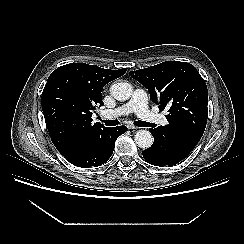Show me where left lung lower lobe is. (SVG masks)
<instances>
[{
    "label": "left lung lower lobe",
    "mask_w": 244,
    "mask_h": 244,
    "mask_svg": "<svg viewBox=\"0 0 244 244\" xmlns=\"http://www.w3.org/2000/svg\"><path fill=\"white\" fill-rule=\"evenodd\" d=\"M153 136L156 129H151ZM144 159L155 166H173L188 157L189 153H181L170 145L155 141L151 147L142 152Z\"/></svg>",
    "instance_id": "1"
}]
</instances>
